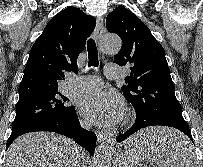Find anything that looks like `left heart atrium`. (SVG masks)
I'll list each match as a JSON object with an SVG mask.
<instances>
[{
    "mask_svg": "<svg viewBox=\"0 0 203 167\" xmlns=\"http://www.w3.org/2000/svg\"><path fill=\"white\" fill-rule=\"evenodd\" d=\"M79 109L90 122L100 126H111L121 120L124 104L116 94L98 91L83 96L79 102Z\"/></svg>",
    "mask_w": 203,
    "mask_h": 167,
    "instance_id": "obj_1",
    "label": "left heart atrium"
}]
</instances>
